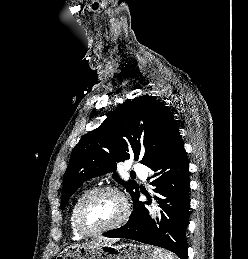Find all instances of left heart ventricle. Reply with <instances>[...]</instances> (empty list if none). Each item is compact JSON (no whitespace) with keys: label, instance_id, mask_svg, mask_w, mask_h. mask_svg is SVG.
Here are the masks:
<instances>
[{"label":"left heart ventricle","instance_id":"1","mask_svg":"<svg viewBox=\"0 0 248 259\" xmlns=\"http://www.w3.org/2000/svg\"><path fill=\"white\" fill-rule=\"evenodd\" d=\"M121 200L112 193L93 198L85 207L83 219L91 229H98L115 222L122 214Z\"/></svg>","mask_w":248,"mask_h":259}]
</instances>
